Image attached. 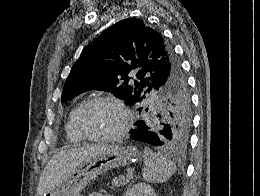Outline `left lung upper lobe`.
I'll return each mask as SVG.
<instances>
[{
    "label": "left lung upper lobe",
    "instance_id": "5c2ea615",
    "mask_svg": "<svg viewBox=\"0 0 260 196\" xmlns=\"http://www.w3.org/2000/svg\"><path fill=\"white\" fill-rule=\"evenodd\" d=\"M129 73H136L135 87ZM150 74L151 77L145 76ZM149 80L158 90L149 108L137 110L160 146L184 151L192 123L191 102L180 64L162 34L137 18H126L104 30L73 65L61 100L66 102L89 90L111 91L133 106L140 103ZM151 87L148 89L150 92Z\"/></svg>",
    "mask_w": 260,
    "mask_h": 196
}]
</instances>
